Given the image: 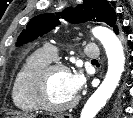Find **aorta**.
Segmentation results:
<instances>
[{"mask_svg": "<svg viewBox=\"0 0 133 118\" xmlns=\"http://www.w3.org/2000/svg\"><path fill=\"white\" fill-rule=\"evenodd\" d=\"M93 35L102 43L108 58L106 76L82 109L80 118H95L116 90L124 72L125 55L118 37L108 28L97 26Z\"/></svg>", "mask_w": 133, "mask_h": 118, "instance_id": "762f6f07", "label": "aorta"}]
</instances>
